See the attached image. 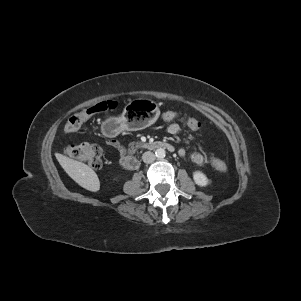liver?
I'll return each mask as SVG.
<instances>
[{"instance_id":"6515ba94","label":"liver","mask_w":301,"mask_h":301,"mask_svg":"<svg viewBox=\"0 0 301 301\" xmlns=\"http://www.w3.org/2000/svg\"><path fill=\"white\" fill-rule=\"evenodd\" d=\"M55 156L65 172L81 187L92 192H97L100 189L99 178L88 165L60 153H56Z\"/></svg>"}]
</instances>
